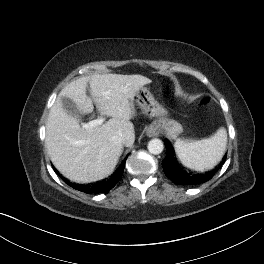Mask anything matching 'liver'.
Wrapping results in <instances>:
<instances>
[{"label":"liver","instance_id":"obj_1","mask_svg":"<svg viewBox=\"0 0 264 264\" xmlns=\"http://www.w3.org/2000/svg\"><path fill=\"white\" fill-rule=\"evenodd\" d=\"M89 82L96 107L112 117L103 125L85 129L79 119L62 106V97L71 99L83 114L92 113L93 101L86 94ZM151 80L142 75L93 74L70 82L59 93L46 123V148L55 168L75 182H92L111 174L123 152L112 137H124L125 146L135 140L132 101Z\"/></svg>","mask_w":264,"mask_h":264}]
</instances>
